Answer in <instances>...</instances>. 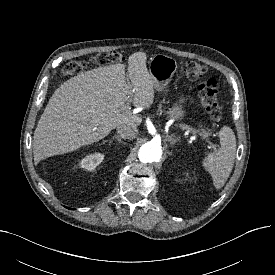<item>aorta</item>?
<instances>
[{"label": "aorta", "mask_w": 275, "mask_h": 275, "mask_svg": "<svg viewBox=\"0 0 275 275\" xmlns=\"http://www.w3.org/2000/svg\"><path fill=\"white\" fill-rule=\"evenodd\" d=\"M138 157L143 163L158 162L162 157V148L154 141L147 142L140 147Z\"/></svg>", "instance_id": "obj_1"}]
</instances>
